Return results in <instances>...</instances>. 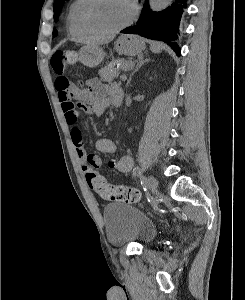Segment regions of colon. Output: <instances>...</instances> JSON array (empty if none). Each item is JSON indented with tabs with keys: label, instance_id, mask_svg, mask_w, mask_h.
Instances as JSON below:
<instances>
[{
	"label": "colon",
	"instance_id": "5ec220e1",
	"mask_svg": "<svg viewBox=\"0 0 245 300\" xmlns=\"http://www.w3.org/2000/svg\"><path fill=\"white\" fill-rule=\"evenodd\" d=\"M75 59L74 52L57 51L52 56L51 65L57 74L62 75L68 66L75 62ZM87 182L89 187L104 199L125 203L141 201V193L137 188L110 184L98 173L88 174Z\"/></svg>",
	"mask_w": 245,
	"mask_h": 300
}]
</instances>
